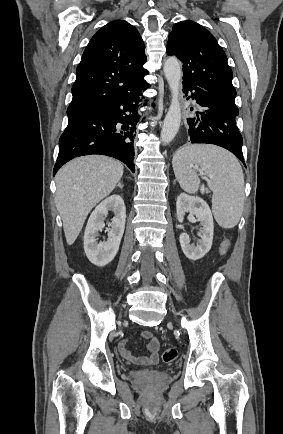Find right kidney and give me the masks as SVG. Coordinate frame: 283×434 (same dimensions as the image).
<instances>
[{
    "label": "right kidney",
    "instance_id": "1",
    "mask_svg": "<svg viewBox=\"0 0 283 434\" xmlns=\"http://www.w3.org/2000/svg\"><path fill=\"white\" fill-rule=\"evenodd\" d=\"M112 211L115 216L108 231V239L97 242L98 232L104 228V219ZM126 208L119 195H112L103 200L92 212L84 234V251L91 263L104 267L116 256L125 229Z\"/></svg>",
    "mask_w": 283,
    "mask_h": 434
}]
</instances>
